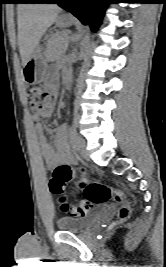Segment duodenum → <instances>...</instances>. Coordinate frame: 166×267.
I'll list each match as a JSON object with an SVG mask.
<instances>
[{
  "label": "duodenum",
  "instance_id": "obj_1",
  "mask_svg": "<svg viewBox=\"0 0 166 267\" xmlns=\"http://www.w3.org/2000/svg\"><path fill=\"white\" fill-rule=\"evenodd\" d=\"M64 80H65L66 83H69L70 82L71 76H70L69 72H66L65 73Z\"/></svg>",
  "mask_w": 166,
  "mask_h": 267
}]
</instances>
